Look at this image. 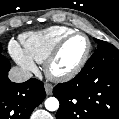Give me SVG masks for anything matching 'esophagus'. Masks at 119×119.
<instances>
[{
	"label": "esophagus",
	"mask_w": 119,
	"mask_h": 119,
	"mask_svg": "<svg viewBox=\"0 0 119 119\" xmlns=\"http://www.w3.org/2000/svg\"><path fill=\"white\" fill-rule=\"evenodd\" d=\"M44 88H45V91H46V94H47V95H51V94H52L53 85H51V84H49V83H45V84H44Z\"/></svg>",
	"instance_id": "1"
}]
</instances>
